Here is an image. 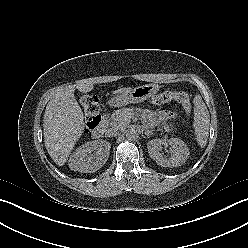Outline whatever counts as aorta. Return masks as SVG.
<instances>
[{
	"label": "aorta",
	"mask_w": 248,
	"mask_h": 248,
	"mask_svg": "<svg viewBox=\"0 0 248 248\" xmlns=\"http://www.w3.org/2000/svg\"><path fill=\"white\" fill-rule=\"evenodd\" d=\"M126 137L129 139V140H134L138 137V133L137 131L134 129V128H131L129 129L127 132H126Z\"/></svg>",
	"instance_id": "obj_1"
}]
</instances>
